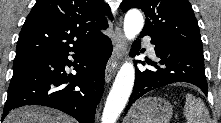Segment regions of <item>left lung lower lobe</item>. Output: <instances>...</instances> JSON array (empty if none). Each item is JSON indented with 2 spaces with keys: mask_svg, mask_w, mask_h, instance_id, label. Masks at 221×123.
Listing matches in <instances>:
<instances>
[{
  "mask_svg": "<svg viewBox=\"0 0 221 123\" xmlns=\"http://www.w3.org/2000/svg\"><path fill=\"white\" fill-rule=\"evenodd\" d=\"M141 32V37L146 36ZM152 38V44L155 45L157 62H151L154 67L144 71L136 70V79L133 92L130 96L126 111L132 104L145 93L156 88L175 83H192L207 94V81L204 70L203 50H196L187 47H177L168 43L161 42ZM140 44L135 43L133 54H139ZM145 64V62L138 61ZM149 64V62H147Z\"/></svg>",
  "mask_w": 221,
  "mask_h": 123,
  "instance_id": "left-lung-lower-lobe-1",
  "label": "left lung lower lobe"
}]
</instances>
